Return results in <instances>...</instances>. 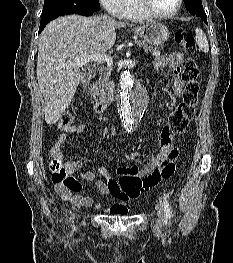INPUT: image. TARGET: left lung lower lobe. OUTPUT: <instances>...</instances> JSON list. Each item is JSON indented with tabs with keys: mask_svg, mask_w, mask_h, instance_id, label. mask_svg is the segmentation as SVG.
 Instances as JSON below:
<instances>
[{
	"mask_svg": "<svg viewBox=\"0 0 233 263\" xmlns=\"http://www.w3.org/2000/svg\"><path fill=\"white\" fill-rule=\"evenodd\" d=\"M202 19H203V21H204L205 23H207V16H206V15H204V16L202 17Z\"/></svg>",
	"mask_w": 233,
	"mask_h": 263,
	"instance_id": "obj_1",
	"label": "left lung lower lobe"
}]
</instances>
